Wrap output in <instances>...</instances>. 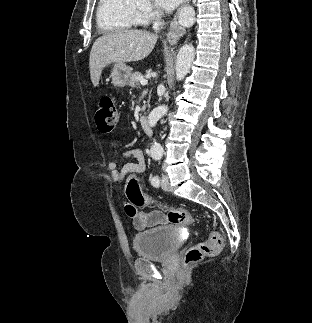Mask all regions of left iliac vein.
I'll list each match as a JSON object with an SVG mask.
<instances>
[{"label":"left iliac vein","mask_w":312,"mask_h":323,"mask_svg":"<svg viewBox=\"0 0 312 323\" xmlns=\"http://www.w3.org/2000/svg\"><path fill=\"white\" fill-rule=\"evenodd\" d=\"M161 187L162 189L168 191L169 190V179L167 175H162V180H161Z\"/></svg>","instance_id":"1"}]
</instances>
